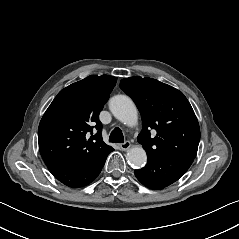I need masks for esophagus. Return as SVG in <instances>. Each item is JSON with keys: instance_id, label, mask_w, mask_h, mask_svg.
I'll return each instance as SVG.
<instances>
[{"instance_id": "esophagus-1", "label": "esophagus", "mask_w": 239, "mask_h": 239, "mask_svg": "<svg viewBox=\"0 0 239 239\" xmlns=\"http://www.w3.org/2000/svg\"><path fill=\"white\" fill-rule=\"evenodd\" d=\"M122 150L126 151L131 147V143L129 141H125L124 143L120 144Z\"/></svg>"}]
</instances>
